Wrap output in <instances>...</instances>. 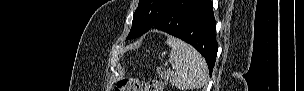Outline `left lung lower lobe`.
Listing matches in <instances>:
<instances>
[{"label": "left lung lower lobe", "instance_id": "0a47b994", "mask_svg": "<svg viewBox=\"0 0 304 91\" xmlns=\"http://www.w3.org/2000/svg\"><path fill=\"white\" fill-rule=\"evenodd\" d=\"M152 28L161 29L192 45L205 58L212 74L218 44L211 0H173Z\"/></svg>", "mask_w": 304, "mask_h": 91}]
</instances>
